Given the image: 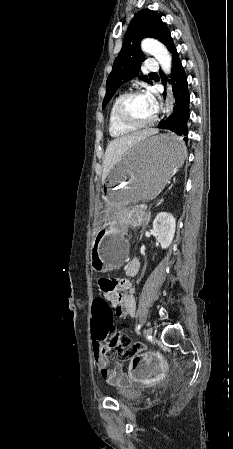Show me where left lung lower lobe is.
I'll return each instance as SVG.
<instances>
[{"label":"left lung lower lobe","instance_id":"1","mask_svg":"<svg viewBox=\"0 0 233 449\" xmlns=\"http://www.w3.org/2000/svg\"><path fill=\"white\" fill-rule=\"evenodd\" d=\"M172 54V70L170 75V81L173 88L174 98H175V106L173 110V114L170 118L166 120H161L158 128L160 129H168L173 135L172 139H170L167 143V149L171 152L177 151L185 143H187L188 137V119L190 116L189 113V103L190 96L188 92V83L187 77L184 71V68L179 59V55L177 53L176 48H174L171 52ZM163 77V73L160 72ZM165 79H163V84H165ZM165 96V93H164Z\"/></svg>","mask_w":233,"mask_h":449}]
</instances>
